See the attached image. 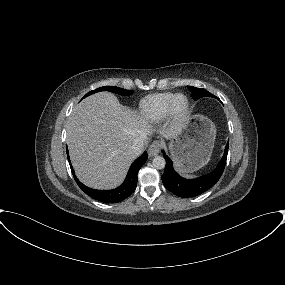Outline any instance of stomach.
I'll list each match as a JSON object with an SVG mask.
<instances>
[{"label": "stomach", "mask_w": 285, "mask_h": 285, "mask_svg": "<svg viewBox=\"0 0 285 285\" xmlns=\"http://www.w3.org/2000/svg\"><path fill=\"white\" fill-rule=\"evenodd\" d=\"M216 137V127L205 116H194L172 138L169 149L177 169L193 172L206 165L211 157Z\"/></svg>", "instance_id": "obj_1"}]
</instances>
